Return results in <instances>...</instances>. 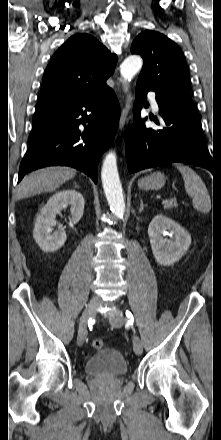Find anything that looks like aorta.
I'll list each match as a JSON object with an SVG mask.
<instances>
[{
	"label": "aorta",
	"instance_id": "762f6f07",
	"mask_svg": "<svg viewBox=\"0 0 221 440\" xmlns=\"http://www.w3.org/2000/svg\"><path fill=\"white\" fill-rule=\"evenodd\" d=\"M142 65L143 61L140 56L131 55L127 57L120 65L122 81L125 84L130 82ZM101 178L111 211L116 217L122 218L125 213V202L117 169V157L114 151H110L103 161Z\"/></svg>",
	"mask_w": 221,
	"mask_h": 440
}]
</instances>
